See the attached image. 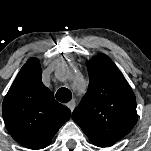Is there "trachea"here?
Here are the masks:
<instances>
[{
  "mask_svg": "<svg viewBox=\"0 0 151 151\" xmlns=\"http://www.w3.org/2000/svg\"><path fill=\"white\" fill-rule=\"evenodd\" d=\"M72 98V94L71 91L67 88H60L57 92H56V99L59 102L62 103H67L71 100Z\"/></svg>",
  "mask_w": 151,
  "mask_h": 151,
  "instance_id": "1",
  "label": "trachea"
}]
</instances>
